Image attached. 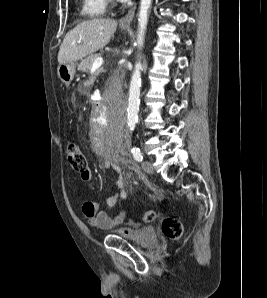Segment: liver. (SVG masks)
I'll return each instance as SVG.
<instances>
[{
  "label": "liver",
  "mask_w": 267,
  "mask_h": 298,
  "mask_svg": "<svg viewBox=\"0 0 267 298\" xmlns=\"http://www.w3.org/2000/svg\"><path fill=\"white\" fill-rule=\"evenodd\" d=\"M116 28L117 21L113 19L95 18L79 23L64 37L58 52V63L75 62L103 48ZM79 40L81 43H78Z\"/></svg>",
  "instance_id": "liver-1"
}]
</instances>
